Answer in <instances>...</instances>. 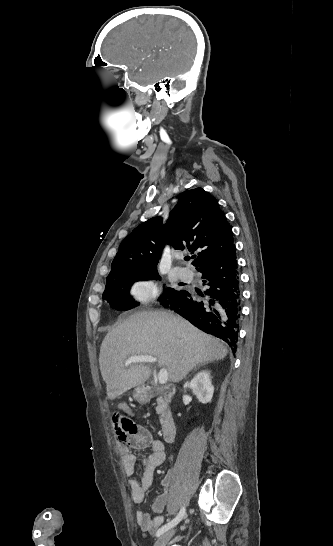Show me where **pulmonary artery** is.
I'll use <instances>...</instances> for the list:
<instances>
[{"label":"pulmonary artery","mask_w":333,"mask_h":546,"mask_svg":"<svg viewBox=\"0 0 333 546\" xmlns=\"http://www.w3.org/2000/svg\"><path fill=\"white\" fill-rule=\"evenodd\" d=\"M178 276L181 280L190 281L192 280L194 273L191 269L187 267H182L178 270Z\"/></svg>","instance_id":"pulmonary-artery-1"}]
</instances>
